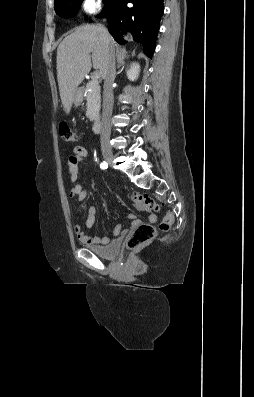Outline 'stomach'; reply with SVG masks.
Listing matches in <instances>:
<instances>
[{
	"mask_svg": "<svg viewBox=\"0 0 254 397\" xmlns=\"http://www.w3.org/2000/svg\"><path fill=\"white\" fill-rule=\"evenodd\" d=\"M83 101V91L80 88H77L74 92L73 102L76 106H79Z\"/></svg>",
	"mask_w": 254,
	"mask_h": 397,
	"instance_id": "stomach-1",
	"label": "stomach"
}]
</instances>
